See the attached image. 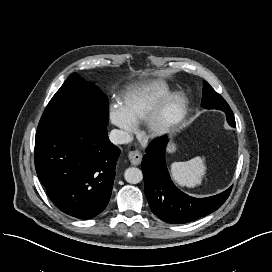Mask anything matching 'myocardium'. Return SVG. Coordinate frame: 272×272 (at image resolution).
<instances>
[{"instance_id":"myocardium-1","label":"myocardium","mask_w":272,"mask_h":272,"mask_svg":"<svg viewBox=\"0 0 272 272\" xmlns=\"http://www.w3.org/2000/svg\"><path fill=\"white\" fill-rule=\"evenodd\" d=\"M187 101L180 93L171 94L161 101L148 116V133L159 137L176 129L186 115Z\"/></svg>"}]
</instances>
